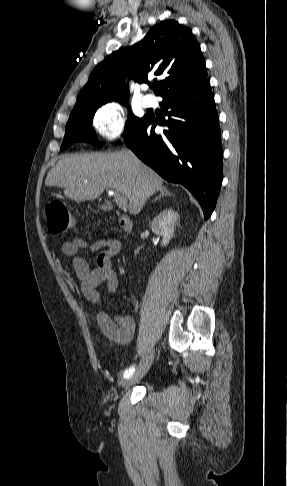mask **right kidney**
I'll use <instances>...</instances> for the list:
<instances>
[{
    "label": "right kidney",
    "instance_id": "ca27d5eb",
    "mask_svg": "<svg viewBox=\"0 0 287 486\" xmlns=\"http://www.w3.org/2000/svg\"><path fill=\"white\" fill-rule=\"evenodd\" d=\"M178 217V213L169 208L163 210L151 222L153 233L162 236V246H166L173 237L174 227Z\"/></svg>",
    "mask_w": 287,
    "mask_h": 486
}]
</instances>
